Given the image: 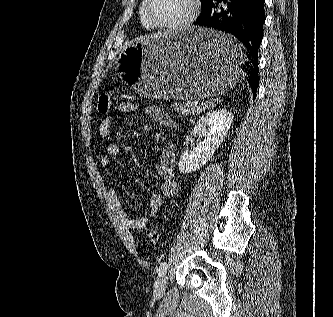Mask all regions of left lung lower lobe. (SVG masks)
<instances>
[{"label": "left lung lower lobe", "mask_w": 333, "mask_h": 317, "mask_svg": "<svg viewBox=\"0 0 333 317\" xmlns=\"http://www.w3.org/2000/svg\"><path fill=\"white\" fill-rule=\"evenodd\" d=\"M265 0H210L204 11L194 22L197 26L207 27L234 35L246 47V58L241 68L256 97L258 86V50L262 42L265 23ZM238 44V43H237ZM212 52L229 61L240 60V48L233 44L215 47Z\"/></svg>", "instance_id": "obj_1"}]
</instances>
